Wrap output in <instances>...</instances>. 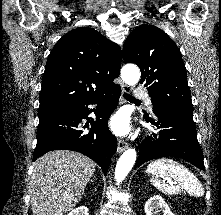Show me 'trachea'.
Segmentation results:
<instances>
[{"mask_svg": "<svg viewBox=\"0 0 221 215\" xmlns=\"http://www.w3.org/2000/svg\"><path fill=\"white\" fill-rule=\"evenodd\" d=\"M123 96H124L125 99H127L129 101L140 102V100L135 99L132 95H129L127 93H124Z\"/></svg>", "mask_w": 221, "mask_h": 215, "instance_id": "1", "label": "trachea"}]
</instances>
